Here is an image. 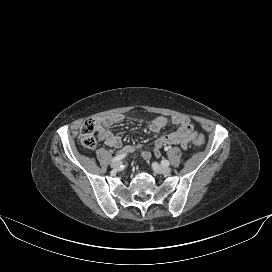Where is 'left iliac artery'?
Listing matches in <instances>:
<instances>
[{
    "label": "left iliac artery",
    "instance_id": "left-iliac-artery-1",
    "mask_svg": "<svg viewBox=\"0 0 272 272\" xmlns=\"http://www.w3.org/2000/svg\"><path fill=\"white\" fill-rule=\"evenodd\" d=\"M167 150V149H166ZM162 165L164 166H169V161L168 160H162L161 161Z\"/></svg>",
    "mask_w": 272,
    "mask_h": 272
}]
</instances>
